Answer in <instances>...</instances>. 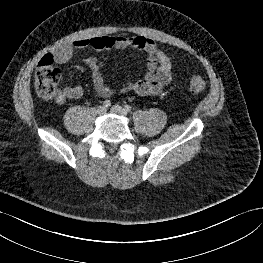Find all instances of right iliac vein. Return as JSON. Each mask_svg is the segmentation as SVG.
<instances>
[{
	"label": "right iliac vein",
	"mask_w": 263,
	"mask_h": 263,
	"mask_svg": "<svg viewBox=\"0 0 263 263\" xmlns=\"http://www.w3.org/2000/svg\"><path fill=\"white\" fill-rule=\"evenodd\" d=\"M105 112H106L105 106H98V107H97V113H98L99 115H103V114H105Z\"/></svg>",
	"instance_id": "1"
}]
</instances>
